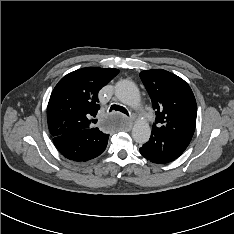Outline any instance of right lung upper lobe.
<instances>
[{"instance_id": "1", "label": "right lung upper lobe", "mask_w": 234, "mask_h": 234, "mask_svg": "<svg viewBox=\"0 0 234 234\" xmlns=\"http://www.w3.org/2000/svg\"><path fill=\"white\" fill-rule=\"evenodd\" d=\"M117 69L87 67L64 76L49 99L47 108L48 127L57 137L73 131L95 127L100 106L99 90L117 74Z\"/></svg>"}]
</instances>
